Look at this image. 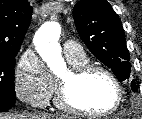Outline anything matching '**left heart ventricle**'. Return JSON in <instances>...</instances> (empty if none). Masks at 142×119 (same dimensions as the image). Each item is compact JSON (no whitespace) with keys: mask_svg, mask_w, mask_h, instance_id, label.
I'll use <instances>...</instances> for the list:
<instances>
[{"mask_svg":"<svg viewBox=\"0 0 142 119\" xmlns=\"http://www.w3.org/2000/svg\"><path fill=\"white\" fill-rule=\"evenodd\" d=\"M71 95L73 101L83 109L101 112L112 107L116 99V90L107 76L94 72L78 83Z\"/></svg>","mask_w":142,"mask_h":119,"instance_id":"obj_1","label":"left heart ventricle"}]
</instances>
